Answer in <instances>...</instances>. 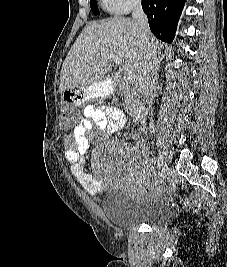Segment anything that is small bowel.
<instances>
[{
	"label": "small bowel",
	"mask_w": 227,
	"mask_h": 267,
	"mask_svg": "<svg viewBox=\"0 0 227 267\" xmlns=\"http://www.w3.org/2000/svg\"><path fill=\"white\" fill-rule=\"evenodd\" d=\"M125 126L126 117L121 109L114 106L97 108L93 104H87L83 109V118L73 132L62 134L64 155L69 162L71 173L88 194L97 195L102 190L101 181L85 170L84 155L90 142L118 133ZM138 175L137 193L141 196L153 194L154 187L147 171H139Z\"/></svg>",
	"instance_id": "c3829d8e"
}]
</instances>
